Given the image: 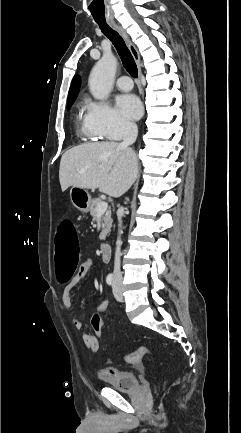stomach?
<instances>
[{
  "instance_id": "stomach-1",
  "label": "stomach",
  "mask_w": 241,
  "mask_h": 433,
  "mask_svg": "<svg viewBox=\"0 0 241 433\" xmlns=\"http://www.w3.org/2000/svg\"><path fill=\"white\" fill-rule=\"evenodd\" d=\"M71 203L75 208L83 213H87L91 206V196L86 189L72 187L70 190Z\"/></svg>"
}]
</instances>
